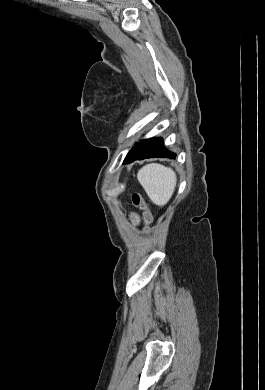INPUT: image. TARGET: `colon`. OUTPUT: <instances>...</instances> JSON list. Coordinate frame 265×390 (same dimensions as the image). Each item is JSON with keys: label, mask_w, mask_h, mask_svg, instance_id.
I'll use <instances>...</instances> for the list:
<instances>
[{"label": "colon", "mask_w": 265, "mask_h": 390, "mask_svg": "<svg viewBox=\"0 0 265 390\" xmlns=\"http://www.w3.org/2000/svg\"><path fill=\"white\" fill-rule=\"evenodd\" d=\"M132 202L137 209L141 210L144 213L146 219L151 218V212L149 209V205H148L147 201L145 200V198L141 194L134 193L132 195Z\"/></svg>", "instance_id": "1"}]
</instances>
